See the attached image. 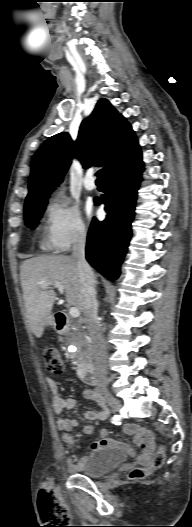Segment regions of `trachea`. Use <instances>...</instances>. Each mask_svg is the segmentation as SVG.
<instances>
[{
	"instance_id": "obj_1",
	"label": "trachea",
	"mask_w": 192,
	"mask_h": 527,
	"mask_svg": "<svg viewBox=\"0 0 192 527\" xmlns=\"http://www.w3.org/2000/svg\"><path fill=\"white\" fill-rule=\"evenodd\" d=\"M96 176H97V181H102V180H103V171H102V170H99V171L96 173Z\"/></svg>"
}]
</instances>
